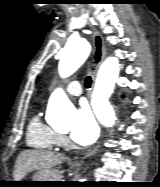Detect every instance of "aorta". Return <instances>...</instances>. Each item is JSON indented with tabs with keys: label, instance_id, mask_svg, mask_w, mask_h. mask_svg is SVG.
Returning a JSON list of instances; mask_svg holds the SVG:
<instances>
[{
	"label": "aorta",
	"instance_id": "obj_1",
	"mask_svg": "<svg viewBox=\"0 0 160 187\" xmlns=\"http://www.w3.org/2000/svg\"><path fill=\"white\" fill-rule=\"evenodd\" d=\"M90 54V45L83 39L68 41L62 51L59 61V74L62 78L72 75L85 62ZM119 60L109 57L100 66L94 91L92 94V108L99 122L106 127L114 125L116 116L109 103L116 80L119 76ZM73 105L62 89L55 90L48 103L47 119L50 123L62 121L69 117ZM80 182H85L82 179Z\"/></svg>",
	"mask_w": 160,
	"mask_h": 187
}]
</instances>
